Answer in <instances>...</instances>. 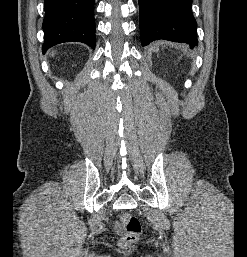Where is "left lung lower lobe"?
<instances>
[{
	"instance_id": "left-lung-lower-lobe-1",
	"label": "left lung lower lobe",
	"mask_w": 247,
	"mask_h": 257,
	"mask_svg": "<svg viewBox=\"0 0 247 257\" xmlns=\"http://www.w3.org/2000/svg\"><path fill=\"white\" fill-rule=\"evenodd\" d=\"M192 0H139L142 46L155 40L197 45Z\"/></svg>"
}]
</instances>
